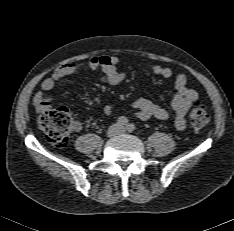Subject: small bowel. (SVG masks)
Instances as JSON below:
<instances>
[{
	"label": "small bowel",
	"mask_w": 234,
	"mask_h": 231,
	"mask_svg": "<svg viewBox=\"0 0 234 231\" xmlns=\"http://www.w3.org/2000/svg\"><path fill=\"white\" fill-rule=\"evenodd\" d=\"M119 59L113 55H99L89 58L84 62H71L58 67L51 76L47 77L41 83L40 90H38L33 97V105L38 111L48 110L53 105V99L50 94L57 82L66 76L76 74L84 69L100 70V79L109 85L116 86L122 83L127 75L125 72L118 70L117 66ZM148 69L154 75L170 78L173 72L168 67L159 65H149ZM174 95L171 108L175 113L174 127L182 131L186 127V115L191 105L198 100V93L196 90L189 88L187 85V78L185 74H178L174 80ZM134 115L141 121H147L151 118L158 120H168L169 113L166 109L158 104H155L147 98H137L132 103ZM104 113L108 116L115 112L113 105H106ZM81 124L75 122L72 126L74 131L81 129Z\"/></svg>",
	"instance_id": "1"
}]
</instances>
